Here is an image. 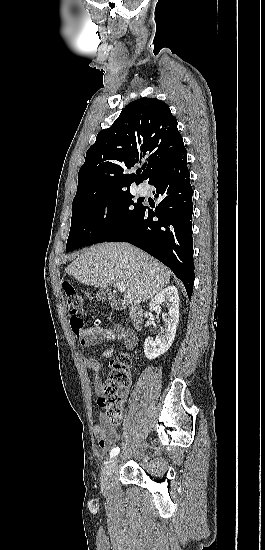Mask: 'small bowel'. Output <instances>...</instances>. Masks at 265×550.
Returning a JSON list of instances; mask_svg holds the SVG:
<instances>
[{"instance_id": "obj_1", "label": "small bowel", "mask_w": 265, "mask_h": 550, "mask_svg": "<svg viewBox=\"0 0 265 550\" xmlns=\"http://www.w3.org/2000/svg\"><path fill=\"white\" fill-rule=\"evenodd\" d=\"M73 332L82 345H96L103 341H122L127 349H133L136 345L135 335L131 331L119 326L110 329L83 327L78 331L73 330ZM113 352V347L106 348L102 353V358L109 359L113 355ZM84 364L96 375L102 370V363L98 359L85 358ZM103 387V381L96 376L94 378V389L97 395L101 396ZM94 433L100 448L103 450L108 449L111 444L116 443L120 438L116 429L109 426L102 416L99 417L94 425Z\"/></svg>"}]
</instances>
